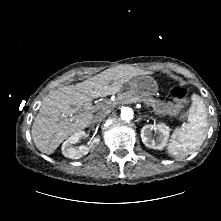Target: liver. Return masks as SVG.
Masks as SVG:
<instances>
[{
  "label": "liver",
  "instance_id": "6515ba94",
  "mask_svg": "<svg viewBox=\"0 0 221 221\" xmlns=\"http://www.w3.org/2000/svg\"><path fill=\"white\" fill-rule=\"evenodd\" d=\"M136 75L133 70L109 68L81 83L49 92L32 125L31 135L37 149L52 154L69 136L87 128L96 110L91 101L119 92Z\"/></svg>",
  "mask_w": 221,
  "mask_h": 221
}]
</instances>
